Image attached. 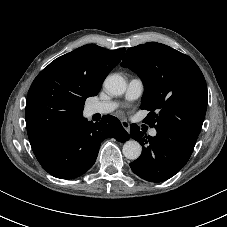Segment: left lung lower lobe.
Returning <instances> with one entry per match:
<instances>
[{"instance_id":"obj_1","label":"left lung lower lobe","mask_w":227,"mask_h":227,"mask_svg":"<svg viewBox=\"0 0 227 227\" xmlns=\"http://www.w3.org/2000/svg\"><path fill=\"white\" fill-rule=\"evenodd\" d=\"M155 137L146 136L136 125H131L130 136L142 147L141 156L130 164L132 171L144 180L162 182L179 172L194 149L191 143L164 129H156Z\"/></svg>"}]
</instances>
